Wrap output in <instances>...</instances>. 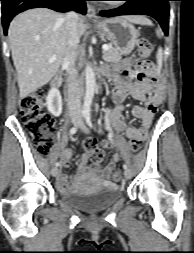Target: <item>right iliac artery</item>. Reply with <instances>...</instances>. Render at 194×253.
I'll return each instance as SVG.
<instances>
[{
	"mask_svg": "<svg viewBox=\"0 0 194 253\" xmlns=\"http://www.w3.org/2000/svg\"><path fill=\"white\" fill-rule=\"evenodd\" d=\"M86 114H87V112H83V114H82V117H86ZM77 129H78V127L77 126H74V127H72L71 129H70V134H75L76 132H77ZM60 165V163L59 162H57V163H55V166L56 167H58Z\"/></svg>",
	"mask_w": 194,
	"mask_h": 253,
	"instance_id": "obj_1",
	"label": "right iliac artery"
}]
</instances>
